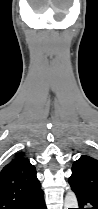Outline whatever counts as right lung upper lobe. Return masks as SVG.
Listing matches in <instances>:
<instances>
[{"label":"right lung upper lobe","mask_w":98,"mask_h":209,"mask_svg":"<svg viewBox=\"0 0 98 209\" xmlns=\"http://www.w3.org/2000/svg\"><path fill=\"white\" fill-rule=\"evenodd\" d=\"M41 191L36 169L20 152L0 171V209H15Z\"/></svg>","instance_id":"obj_1"}]
</instances>
